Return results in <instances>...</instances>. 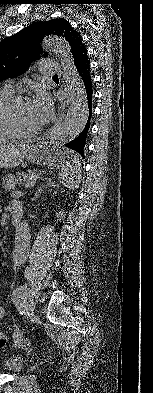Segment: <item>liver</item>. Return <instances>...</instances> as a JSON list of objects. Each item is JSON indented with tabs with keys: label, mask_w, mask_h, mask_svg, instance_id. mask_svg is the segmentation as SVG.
Listing matches in <instances>:
<instances>
[{
	"label": "liver",
	"mask_w": 153,
	"mask_h": 393,
	"mask_svg": "<svg viewBox=\"0 0 153 393\" xmlns=\"http://www.w3.org/2000/svg\"><path fill=\"white\" fill-rule=\"evenodd\" d=\"M23 146H6L0 149V168L17 167L24 155Z\"/></svg>",
	"instance_id": "1"
}]
</instances>
